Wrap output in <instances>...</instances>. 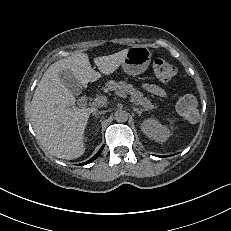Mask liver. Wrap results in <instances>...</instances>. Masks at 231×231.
Returning <instances> with one entry per match:
<instances>
[{
  "label": "liver",
  "instance_id": "6515ba94",
  "mask_svg": "<svg viewBox=\"0 0 231 231\" xmlns=\"http://www.w3.org/2000/svg\"><path fill=\"white\" fill-rule=\"evenodd\" d=\"M128 49L93 59L99 71L113 73L124 61ZM70 70L83 87L101 77L86 53H75L56 61L45 71L31 101V123L35 134L51 155L72 160L85 151L84 132L94 108L75 106L76 98L61 82L59 73Z\"/></svg>",
  "mask_w": 231,
  "mask_h": 231
}]
</instances>
